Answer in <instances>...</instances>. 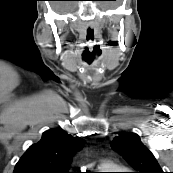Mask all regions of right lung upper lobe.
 Segmentation results:
<instances>
[{
  "label": "right lung upper lobe",
  "mask_w": 173,
  "mask_h": 173,
  "mask_svg": "<svg viewBox=\"0 0 173 173\" xmlns=\"http://www.w3.org/2000/svg\"><path fill=\"white\" fill-rule=\"evenodd\" d=\"M84 142L60 129L47 130L27 149L13 173H69L72 156Z\"/></svg>",
  "instance_id": "cb5924a9"
}]
</instances>
